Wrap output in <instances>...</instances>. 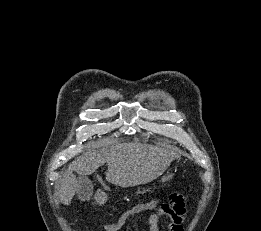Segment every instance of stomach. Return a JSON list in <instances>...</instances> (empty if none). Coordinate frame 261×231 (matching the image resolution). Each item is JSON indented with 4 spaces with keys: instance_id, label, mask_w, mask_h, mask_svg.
<instances>
[{
    "instance_id": "0dacf381",
    "label": "stomach",
    "mask_w": 261,
    "mask_h": 231,
    "mask_svg": "<svg viewBox=\"0 0 261 231\" xmlns=\"http://www.w3.org/2000/svg\"><path fill=\"white\" fill-rule=\"evenodd\" d=\"M175 171H176V169H175ZM174 171V172H175ZM174 172H173V170H169L163 177H162V182H168V181H170L172 178H173V176H174ZM145 190H143V192H144Z\"/></svg>"
}]
</instances>
